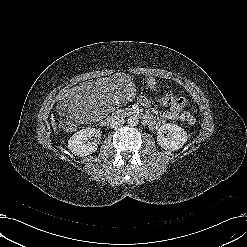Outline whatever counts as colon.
Here are the masks:
<instances>
[{
	"instance_id": "colon-1",
	"label": "colon",
	"mask_w": 247,
	"mask_h": 247,
	"mask_svg": "<svg viewBox=\"0 0 247 247\" xmlns=\"http://www.w3.org/2000/svg\"><path fill=\"white\" fill-rule=\"evenodd\" d=\"M174 101V96L171 92L165 94H158L155 98L157 105L169 106ZM187 123L193 126L196 123V118L193 115L188 116ZM60 128L65 131H71L76 128V123L69 118H62L60 121Z\"/></svg>"
}]
</instances>
